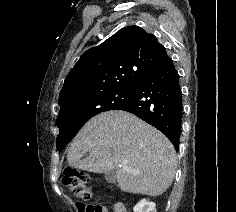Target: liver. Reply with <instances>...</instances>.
I'll list each match as a JSON object with an SVG mask.
<instances>
[{
	"label": "liver",
	"mask_w": 236,
	"mask_h": 212,
	"mask_svg": "<svg viewBox=\"0 0 236 212\" xmlns=\"http://www.w3.org/2000/svg\"><path fill=\"white\" fill-rule=\"evenodd\" d=\"M67 160L70 167L94 173L116 170L122 191L150 196L163 194L176 171V152L167 137L125 111H107L90 119L73 139Z\"/></svg>",
	"instance_id": "liver-1"
}]
</instances>
